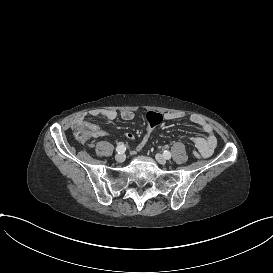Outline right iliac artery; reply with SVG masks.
I'll return each mask as SVG.
<instances>
[{
    "mask_svg": "<svg viewBox=\"0 0 273 273\" xmlns=\"http://www.w3.org/2000/svg\"><path fill=\"white\" fill-rule=\"evenodd\" d=\"M126 150V147L124 146V144H119L116 148V151L118 152V154L120 153H124Z\"/></svg>",
    "mask_w": 273,
    "mask_h": 273,
    "instance_id": "82829eb1",
    "label": "right iliac artery"
}]
</instances>
